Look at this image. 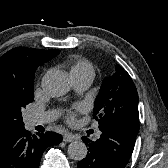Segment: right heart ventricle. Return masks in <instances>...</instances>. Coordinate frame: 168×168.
Masks as SVG:
<instances>
[{"instance_id":"right-heart-ventricle-1","label":"right heart ventricle","mask_w":168,"mask_h":168,"mask_svg":"<svg viewBox=\"0 0 168 168\" xmlns=\"http://www.w3.org/2000/svg\"><path fill=\"white\" fill-rule=\"evenodd\" d=\"M70 76L73 78L80 76H92L94 78L95 69L90 61L84 58H73L67 61Z\"/></svg>"}]
</instances>
